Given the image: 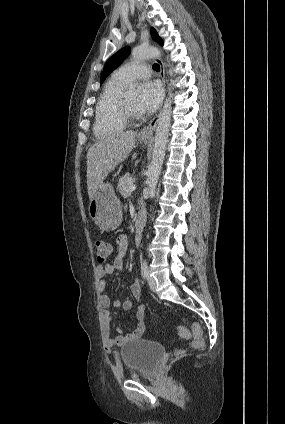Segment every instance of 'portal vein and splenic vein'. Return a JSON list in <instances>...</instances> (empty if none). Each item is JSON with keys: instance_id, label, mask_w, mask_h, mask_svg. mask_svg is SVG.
<instances>
[{"instance_id": "1", "label": "portal vein and splenic vein", "mask_w": 285, "mask_h": 424, "mask_svg": "<svg viewBox=\"0 0 285 424\" xmlns=\"http://www.w3.org/2000/svg\"><path fill=\"white\" fill-rule=\"evenodd\" d=\"M129 189H130V191H134L136 189V185H134V184L130 185Z\"/></svg>"}]
</instances>
